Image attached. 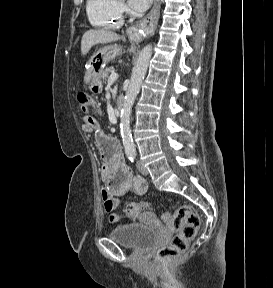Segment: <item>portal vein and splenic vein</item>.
<instances>
[{"mask_svg":"<svg viewBox=\"0 0 273 288\" xmlns=\"http://www.w3.org/2000/svg\"><path fill=\"white\" fill-rule=\"evenodd\" d=\"M118 79V74L117 73H111L109 79H108V83H114L116 80Z\"/></svg>","mask_w":273,"mask_h":288,"instance_id":"18ae733b","label":"portal vein and splenic vein"}]
</instances>
